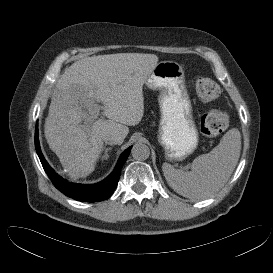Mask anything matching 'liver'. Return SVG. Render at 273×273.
<instances>
[{
	"mask_svg": "<svg viewBox=\"0 0 273 273\" xmlns=\"http://www.w3.org/2000/svg\"><path fill=\"white\" fill-rule=\"evenodd\" d=\"M157 62L154 54L98 55L76 61L61 75L44 132L50 149L71 177L93 172L105 138L116 135L123 143L128 126L141 121L143 85ZM98 103L108 119L93 120L90 110ZM84 120L93 124L86 128Z\"/></svg>",
	"mask_w": 273,
	"mask_h": 273,
	"instance_id": "liver-1",
	"label": "liver"
}]
</instances>
